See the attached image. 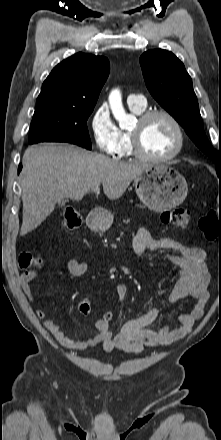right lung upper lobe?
I'll list each match as a JSON object with an SVG mask.
<instances>
[{
  "label": "right lung upper lobe",
  "mask_w": 221,
  "mask_h": 440,
  "mask_svg": "<svg viewBox=\"0 0 221 440\" xmlns=\"http://www.w3.org/2000/svg\"><path fill=\"white\" fill-rule=\"evenodd\" d=\"M109 71L107 58L76 53L51 71L42 85L37 104L52 101L94 107Z\"/></svg>",
  "instance_id": "1"
}]
</instances>
